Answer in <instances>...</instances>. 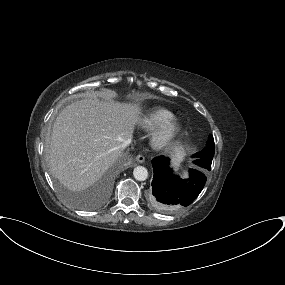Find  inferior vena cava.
Wrapping results in <instances>:
<instances>
[{
	"mask_svg": "<svg viewBox=\"0 0 285 285\" xmlns=\"http://www.w3.org/2000/svg\"><path fill=\"white\" fill-rule=\"evenodd\" d=\"M130 143H131V138L125 140V141L122 143V145H121L122 149H124V148H126L127 146H129Z\"/></svg>",
	"mask_w": 285,
	"mask_h": 285,
	"instance_id": "obj_1",
	"label": "inferior vena cava"
}]
</instances>
